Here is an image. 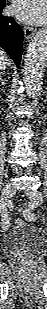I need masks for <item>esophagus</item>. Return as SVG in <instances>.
Here are the masks:
<instances>
[{"mask_svg":"<svg viewBox=\"0 0 47 309\" xmlns=\"http://www.w3.org/2000/svg\"><path fill=\"white\" fill-rule=\"evenodd\" d=\"M23 30H24L25 39L29 41L33 37L35 30L32 27H28V26H25Z\"/></svg>","mask_w":47,"mask_h":309,"instance_id":"1","label":"esophagus"}]
</instances>
